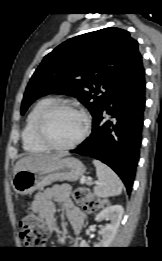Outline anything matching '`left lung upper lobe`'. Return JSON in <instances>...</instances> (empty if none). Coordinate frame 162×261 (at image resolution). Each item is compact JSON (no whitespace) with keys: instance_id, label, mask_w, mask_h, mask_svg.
<instances>
[{"instance_id":"5c2ea615","label":"left lung upper lobe","mask_w":162,"mask_h":261,"mask_svg":"<svg viewBox=\"0 0 162 261\" xmlns=\"http://www.w3.org/2000/svg\"><path fill=\"white\" fill-rule=\"evenodd\" d=\"M141 63L138 43L126 30L109 27L71 38L46 55L36 69L21 114L39 97L55 93L76 97L93 116L114 86Z\"/></svg>"}]
</instances>
